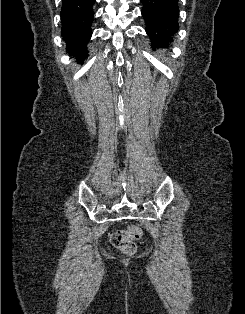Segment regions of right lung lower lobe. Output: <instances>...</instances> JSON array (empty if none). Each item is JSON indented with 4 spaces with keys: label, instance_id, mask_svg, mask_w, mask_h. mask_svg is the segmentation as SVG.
Here are the masks:
<instances>
[{
    "label": "right lung lower lobe",
    "instance_id": "obj_1",
    "mask_svg": "<svg viewBox=\"0 0 245 314\" xmlns=\"http://www.w3.org/2000/svg\"><path fill=\"white\" fill-rule=\"evenodd\" d=\"M95 0H62L61 34L68 52L84 60L87 56V43L91 38V25Z\"/></svg>",
    "mask_w": 245,
    "mask_h": 314
}]
</instances>
